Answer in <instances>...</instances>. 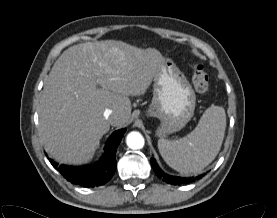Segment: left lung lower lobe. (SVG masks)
<instances>
[{
  "instance_id": "0a47b994",
  "label": "left lung lower lobe",
  "mask_w": 277,
  "mask_h": 218,
  "mask_svg": "<svg viewBox=\"0 0 277 218\" xmlns=\"http://www.w3.org/2000/svg\"><path fill=\"white\" fill-rule=\"evenodd\" d=\"M151 164L152 167L156 173V175L160 178H162L165 182H167L168 184H172V185H181V184H187V183H192L196 180H199L200 178L203 177L204 174L198 175L196 177H188V178H182V177H176V176H171V175H167L165 174L160 168L159 166L156 164L154 158L151 159Z\"/></svg>"
}]
</instances>
